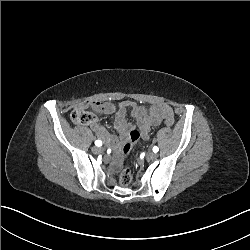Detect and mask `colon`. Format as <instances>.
Listing matches in <instances>:
<instances>
[{
    "label": "colon",
    "mask_w": 250,
    "mask_h": 250,
    "mask_svg": "<svg viewBox=\"0 0 250 250\" xmlns=\"http://www.w3.org/2000/svg\"><path fill=\"white\" fill-rule=\"evenodd\" d=\"M71 121L76 124V125H80V126H88L91 125L94 122V116L84 110V109H74L70 115ZM163 124L166 127H172L174 124V121L171 118H166L163 121ZM130 134H131V138L127 140L126 143L123 144V148H122V153L123 154H128L129 153V149L131 146L134 145V141H138L140 139V134H141V129L140 128H131L130 129ZM132 170H131V166L130 165H125L122 168V171L120 173V177H119V182L121 185L123 186H129L132 183Z\"/></svg>",
    "instance_id": "colon-1"
}]
</instances>
